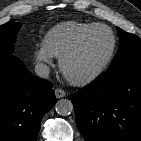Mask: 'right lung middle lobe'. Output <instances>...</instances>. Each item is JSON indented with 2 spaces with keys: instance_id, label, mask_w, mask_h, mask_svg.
<instances>
[{
  "instance_id": "right-lung-middle-lobe-1",
  "label": "right lung middle lobe",
  "mask_w": 141,
  "mask_h": 141,
  "mask_svg": "<svg viewBox=\"0 0 141 141\" xmlns=\"http://www.w3.org/2000/svg\"><path fill=\"white\" fill-rule=\"evenodd\" d=\"M19 29L20 24L13 20L0 26V56L12 53L13 42Z\"/></svg>"
}]
</instances>
